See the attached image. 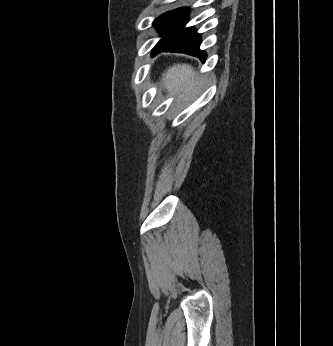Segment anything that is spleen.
I'll list each match as a JSON object with an SVG mask.
<instances>
[{
  "mask_svg": "<svg viewBox=\"0 0 333 346\" xmlns=\"http://www.w3.org/2000/svg\"><path fill=\"white\" fill-rule=\"evenodd\" d=\"M162 85L170 95L178 94L177 101L196 93L203 85V79L188 64H177L163 73Z\"/></svg>",
  "mask_w": 333,
  "mask_h": 346,
  "instance_id": "1",
  "label": "spleen"
}]
</instances>
